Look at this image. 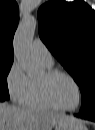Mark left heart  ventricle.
<instances>
[{"label": "left heart ventricle", "mask_w": 95, "mask_h": 130, "mask_svg": "<svg viewBox=\"0 0 95 130\" xmlns=\"http://www.w3.org/2000/svg\"><path fill=\"white\" fill-rule=\"evenodd\" d=\"M44 78L45 73L39 80H43ZM50 94L57 104L66 108L76 106L79 100L76 86L65 76H57L50 82Z\"/></svg>", "instance_id": "obj_1"}]
</instances>
